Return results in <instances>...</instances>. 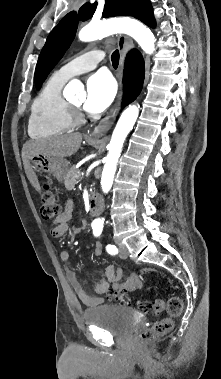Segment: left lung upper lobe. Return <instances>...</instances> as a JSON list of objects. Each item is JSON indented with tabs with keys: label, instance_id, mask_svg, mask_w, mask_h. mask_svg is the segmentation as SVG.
<instances>
[{
	"label": "left lung upper lobe",
	"instance_id": "obj_1",
	"mask_svg": "<svg viewBox=\"0 0 221 379\" xmlns=\"http://www.w3.org/2000/svg\"><path fill=\"white\" fill-rule=\"evenodd\" d=\"M96 7L97 2L84 4L78 13L72 11L65 15L51 31L40 53L35 70V84L38 90L73 41L78 27V20L85 21L91 18ZM150 7L149 0H105L102 15L103 17L133 16L140 20Z\"/></svg>",
	"mask_w": 221,
	"mask_h": 379
}]
</instances>
